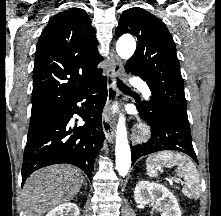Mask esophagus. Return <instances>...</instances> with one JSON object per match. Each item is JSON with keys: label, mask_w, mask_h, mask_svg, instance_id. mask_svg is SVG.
Segmentation results:
<instances>
[{"label": "esophagus", "mask_w": 221, "mask_h": 216, "mask_svg": "<svg viewBox=\"0 0 221 216\" xmlns=\"http://www.w3.org/2000/svg\"><path fill=\"white\" fill-rule=\"evenodd\" d=\"M111 66L107 73V100L102 114V128L109 143L114 140V117L111 115V106L118 99L119 91L115 78L122 74V63L117 54L112 51L110 54Z\"/></svg>", "instance_id": "esophagus-1"}]
</instances>
